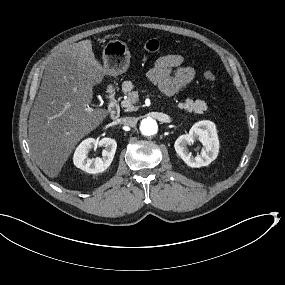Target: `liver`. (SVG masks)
<instances>
[{"label":"liver","instance_id":"liver-1","mask_svg":"<svg viewBox=\"0 0 285 285\" xmlns=\"http://www.w3.org/2000/svg\"><path fill=\"white\" fill-rule=\"evenodd\" d=\"M107 71L90 39L58 50L46 67L29 117V149L36 165L56 179L77 144L110 115L90 107L94 87Z\"/></svg>","mask_w":285,"mask_h":285}]
</instances>
